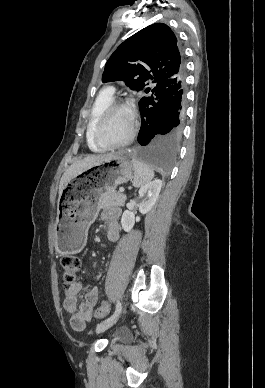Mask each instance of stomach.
Returning <instances> with one entry per match:
<instances>
[{
	"mask_svg": "<svg viewBox=\"0 0 265 388\" xmlns=\"http://www.w3.org/2000/svg\"><path fill=\"white\" fill-rule=\"evenodd\" d=\"M133 165L123 153L104 157L72 177L57 204L54 226L58 253L76 254L85 246L87 231L99 212V197L130 180Z\"/></svg>",
	"mask_w": 265,
	"mask_h": 388,
	"instance_id": "1",
	"label": "stomach"
}]
</instances>
